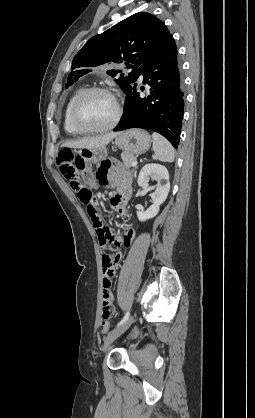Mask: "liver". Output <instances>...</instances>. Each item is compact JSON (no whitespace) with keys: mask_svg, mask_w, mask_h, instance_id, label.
I'll return each instance as SVG.
<instances>
[{"mask_svg":"<svg viewBox=\"0 0 255 418\" xmlns=\"http://www.w3.org/2000/svg\"><path fill=\"white\" fill-rule=\"evenodd\" d=\"M119 133L110 132L105 135L97 137H89L79 140H71L64 142L62 147L69 148H85V149H96V148H105Z\"/></svg>","mask_w":255,"mask_h":418,"instance_id":"1","label":"liver"}]
</instances>
